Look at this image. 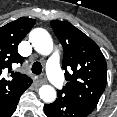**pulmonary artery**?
Listing matches in <instances>:
<instances>
[{"mask_svg":"<svg viewBox=\"0 0 117 117\" xmlns=\"http://www.w3.org/2000/svg\"><path fill=\"white\" fill-rule=\"evenodd\" d=\"M47 73L52 84L61 88L63 86V76L59 67V53L58 51L53 52L47 62Z\"/></svg>","mask_w":117,"mask_h":117,"instance_id":"pulmonary-artery-1","label":"pulmonary artery"}]
</instances>
